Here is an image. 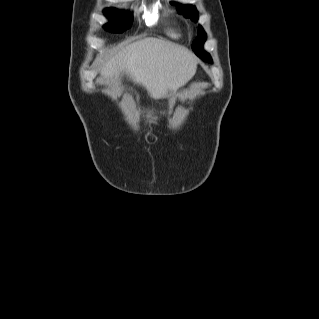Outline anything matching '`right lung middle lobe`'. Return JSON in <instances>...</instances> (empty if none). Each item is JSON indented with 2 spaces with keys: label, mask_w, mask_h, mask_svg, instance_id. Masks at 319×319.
<instances>
[{
  "label": "right lung middle lobe",
  "mask_w": 319,
  "mask_h": 319,
  "mask_svg": "<svg viewBox=\"0 0 319 319\" xmlns=\"http://www.w3.org/2000/svg\"><path fill=\"white\" fill-rule=\"evenodd\" d=\"M104 13L112 20L105 25V28L110 32L122 33L132 24V15L129 13L125 14L114 8L106 9Z\"/></svg>",
  "instance_id": "1"
}]
</instances>
